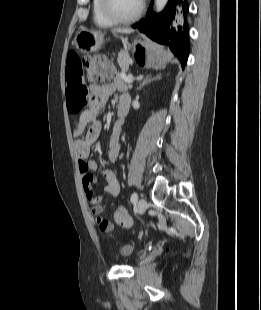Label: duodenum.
<instances>
[{"instance_id":"1","label":"duodenum","mask_w":261,"mask_h":310,"mask_svg":"<svg viewBox=\"0 0 261 310\" xmlns=\"http://www.w3.org/2000/svg\"><path fill=\"white\" fill-rule=\"evenodd\" d=\"M130 108V98L128 95H122L118 102L117 112L119 117H124Z\"/></svg>"}]
</instances>
